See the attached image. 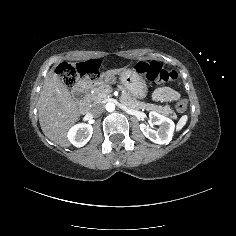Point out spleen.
Segmentation results:
<instances>
[{
    "label": "spleen",
    "instance_id": "3e777b00",
    "mask_svg": "<svg viewBox=\"0 0 236 236\" xmlns=\"http://www.w3.org/2000/svg\"><path fill=\"white\" fill-rule=\"evenodd\" d=\"M187 120H188L187 115H183V116L179 119V121H178V123H177V125H176V130H177V131H180V130L185 126Z\"/></svg>",
    "mask_w": 236,
    "mask_h": 236
}]
</instances>
